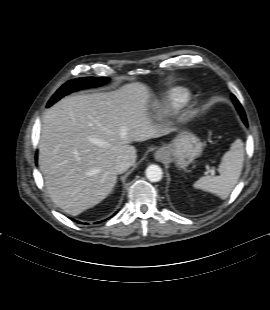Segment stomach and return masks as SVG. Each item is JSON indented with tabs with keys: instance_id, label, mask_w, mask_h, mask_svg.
<instances>
[{
	"instance_id": "obj_1",
	"label": "stomach",
	"mask_w": 270,
	"mask_h": 310,
	"mask_svg": "<svg viewBox=\"0 0 270 310\" xmlns=\"http://www.w3.org/2000/svg\"><path fill=\"white\" fill-rule=\"evenodd\" d=\"M164 148L177 167L185 168L202 154L203 143L194 134L182 131Z\"/></svg>"
}]
</instances>
